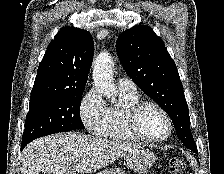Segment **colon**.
<instances>
[{
  "label": "colon",
  "instance_id": "1",
  "mask_svg": "<svg viewBox=\"0 0 224 174\" xmlns=\"http://www.w3.org/2000/svg\"><path fill=\"white\" fill-rule=\"evenodd\" d=\"M168 169L170 174H182L185 171V163L181 159H171Z\"/></svg>",
  "mask_w": 224,
  "mask_h": 174
}]
</instances>
